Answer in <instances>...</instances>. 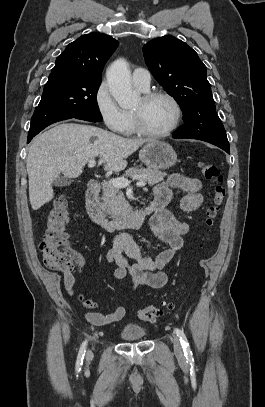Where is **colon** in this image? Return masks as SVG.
I'll use <instances>...</instances> for the list:
<instances>
[{"label": "colon", "instance_id": "1", "mask_svg": "<svg viewBox=\"0 0 265 407\" xmlns=\"http://www.w3.org/2000/svg\"><path fill=\"white\" fill-rule=\"evenodd\" d=\"M199 167L203 176L213 183L212 202L206 210L205 220L206 230L209 231L213 227L224 202L226 189L223 185L222 174L214 163L201 161ZM68 222L69 199L62 195L54 201L47 214L45 232L40 244L43 262L49 269L68 271L73 266L75 254L65 230ZM173 308V304H168L165 307L166 310ZM165 309L147 306L139 310L138 316L143 321L155 322L164 315Z\"/></svg>", "mask_w": 265, "mask_h": 407}]
</instances>
